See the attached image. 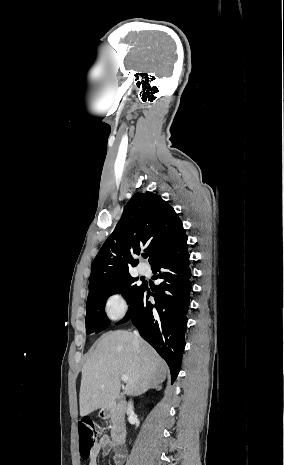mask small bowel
<instances>
[{
	"mask_svg": "<svg viewBox=\"0 0 284 465\" xmlns=\"http://www.w3.org/2000/svg\"><path fill=\"white\" fill-rule=\"evenodd\" d=\"M111 451L110 440L108 435H103L94 445L92 450V455L89 461V465H97L96 457L99 455L100 452L103 454H107ZM121 454L114 452L113 459L116 465H119L121 462Z\"/></svg>",
	"mask_w": 284,
	"mask_h": 465,
	"instance_id": "1",
	"label": "small bowel"
}]
</instances>
